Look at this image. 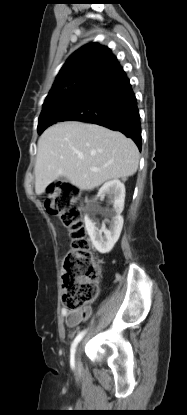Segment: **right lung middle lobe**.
Wrapping results in <instances>:
<instances>
[{"label": "right lung middle lobe", "mask_w": 187, "mask_h": 415, "mask_svg": "<svg viewBox=\"0 0 187 415\" xmlns=\"http://www.w3.org/2000/svg\"><path fill=\"white\" fill-rule=\"evenodd\" d=\"M73 88L71 89V91ZM70 91V92H71ZM62 99H59L54 104H52L49 108L43 109L40 116H39V122H38V133H42L48 126H50V115L51 113L56 110V108L61 103Z\"/></svg>", "instance_id": "obj_1"}]
</instances>
